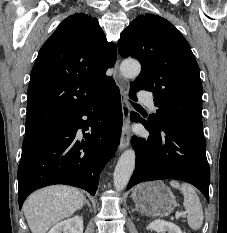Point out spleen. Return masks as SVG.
Here are the masks:
<instances>
[{"mask_svg":"<svg viewBox=\"0 0 227 233\" xmlns=\"http://www.w3.org/2000/svg\"><path fill=\"white\" fill-rule=\"evenodd\" d=\"M170 185L182 192L188 224L192 230H198L203 223V210L194 188L189 184H180L175 180L170 181Z\"/></svg>","mask_w":227,"mask_h":233,"instance_id":"3e777b00","label":"spleen"}]
</instances>
